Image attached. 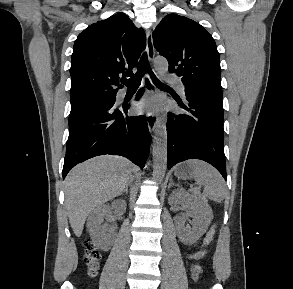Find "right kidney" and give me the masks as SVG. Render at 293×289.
<instances>
[{"mask_svg": "<svg viewBox=\"0 0 293 289\" xmlns=\"http://www.w3.org/2000/svg\"><path fill=\"white\" fill-rule=\"evenodd\" d=\"M113 209L117 212H123L126 209V203L122 200H115L111 206L104 204L95 208L88 217L87 228L90 236L101 247L108 246L110 242L111 231L103 225V222L105 218L111 216Z\"/></svg>", "mask_w": 293, "mask_h": 289, "instance_id": "obj_1", "label": "right kidney"}]
</instances>
